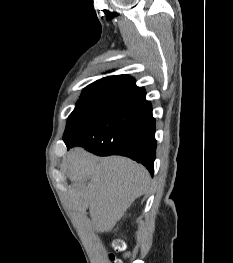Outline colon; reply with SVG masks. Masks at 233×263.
<instances>
[{"label":"colon","instance_id":"obj_1","mask_svg":"<svg viewBox=\"0 0 233 263\" xmlns=\"http://www.w3.org/2000/svg\"><path fill=\"white\" fill-rule=\"evenodd\" d=\"M113 249L115 252L122 253L124 257L128 256L129 254L126 252V246L125 243L122 240H115L113 242ZM111 261L112 263H123L122 259L117 257L116 255H111Z\"/></svg>","mask_w":233,"mask_h":263}]
</instances>
